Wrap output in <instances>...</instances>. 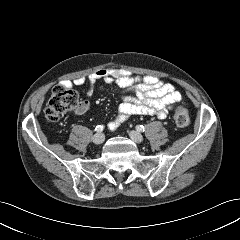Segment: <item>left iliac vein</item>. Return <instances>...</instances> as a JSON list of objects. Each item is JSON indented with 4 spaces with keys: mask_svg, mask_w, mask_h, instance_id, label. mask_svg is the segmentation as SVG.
<instances>
[{
    "mask_svg": "<svg viewBox=\"0 0 240 240\" xmlns=\"http://www.w3.org/2000/svg\"><path fill=\"white\" fill-rule=\"evenodd\" d=\"M129 136L135 143H141L143 141V136L137 131H130Z\"/></svg>",
    "mask_w": 240,
    "mask_h": 240,
    "instance_id": "1",
    "label": "left iliac vein"
}]
</instances>
